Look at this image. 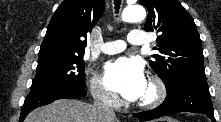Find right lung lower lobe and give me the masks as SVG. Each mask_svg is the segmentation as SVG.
Returning a JSON list of instances; mask_svg holds the SVG:
<instances>
[{
	"label": "right lung lower lobe",
	"mask_w": 221,
	"mask_h": 122,
	"mask_svg": "<svg viewBox=\"0 0 221 122\" xmlns=\"http://www.w3.org/2000/svg\"><path fill=\"white\" fill-rule=\"evenodd\" d=\"M87 94L85 88L62 85L46 89L30 90L29 95L25 98L19 122H22L27 114L33 109L52 103L57 99H74L83 97Z\"/></svg>",
	"instance_id": "right-lung-lower-lobe-1"
}]
</instances>
